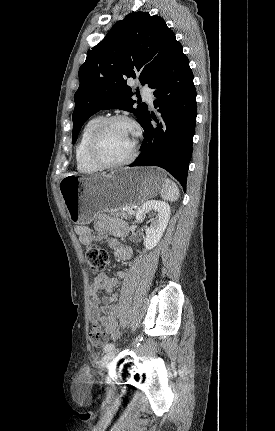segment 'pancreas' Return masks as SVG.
<instances>
[{"label":"pancreas","mask_w":275,"mask_h":431,"mask_svg":"<svg viewBox=\"0 0 275 431\" xmlns=\"http://www.w3.org/2000/svg\"><path fill=\"white\" fill-rule=\"evenodd\" d=\"M113 214L116 215L117 217L124 218V219H130L132 217V215H130L127 210H120Z\"/></svg>","instance_id":"cf45deb5"}]
</instances>
